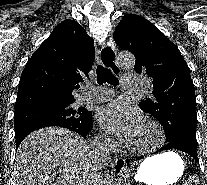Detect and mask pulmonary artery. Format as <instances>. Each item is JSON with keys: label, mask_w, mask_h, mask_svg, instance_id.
I'll return each instance as SVG.
<instances>
[{"label": "pulmonary artery", "mask_w": 207, "mask_h": 185, "mask_svg": "<svg viewBox=\"0 0 207 185\" xmlns=\"http://www.w3.org/2000/svg\"><path fill=\"white\" fill-rule=\"evenodd\" d=\"M122 82H125L127 91H140V81L138 77H122ZM114 96V92L110 89L99 90V91H88L83 96L85 103H102L111 99Z\"/></svg>", "instance_id": "e3ab8cb5"}]
</instances>
